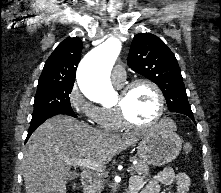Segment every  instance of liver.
Masks as SVG:
<instances>
[{"instance_id": "6515ba94", "label": "liver", "mask_w": 221, "mask_h": 193, "mask_svg": "<svg viewBox=\"0 0 221 193\" xmlns=\"http://www.w3.org/2000/svg\"><path fill=\"white\" fill-rule=\"evenodd\" d=\"M176 129L170 119H163ZM151 130L111 134L66 115H57L41 124L29 138L22 160L26 193H66L70 168L66 160L87 158L106 164L134 145Z\"/></svg>"}]
</instances>
